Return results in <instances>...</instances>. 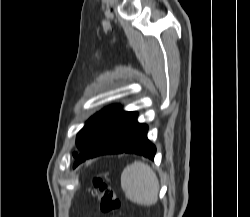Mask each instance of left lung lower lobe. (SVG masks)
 Here are the masks:
<instances>
[{
  "label": "left lung lower lobe",
  "mask_w": 250,
  "mask_h": 217,
  "mask_svg": "<svg viewBox=\"0 0 250 217\" xmlns=\"http://www.w3.org/2000/svg\"><path fill=\"white\" fill-rule=\"evenodd\" d=\"M136 118L137 113L118 109L77 155L73 167L99 155L124 152L154 159L156 147L147 139L148 127Z\"/></svg>",
  "instance_id": "obj_1"
}]
</instances>
